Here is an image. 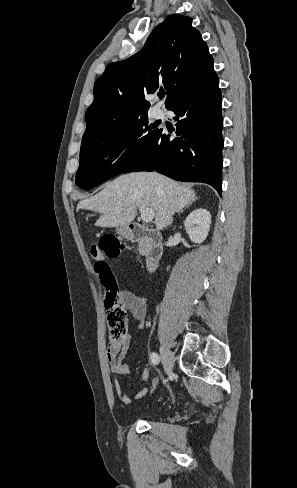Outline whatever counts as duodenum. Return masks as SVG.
Instances as JSON below:
<instances>
[{
	"label": "duodenum",
	"mask_w": 297,
	"mask_h": 488,
	"mask_svg": "<svg viewBox=\"0 0 297 488\" xmlns=\"http://www.w3.org/2000/svg\"><path fill=\"white\" fill-rule=\"evenodd\" d=\"M124 235L129 241L142 244L145 250L146 268L150 272L154 271L163 255L160 233L140 224H130L124 229Z\"/></svg>",
	"instance_id": "obj_1"
}]
</instances>
